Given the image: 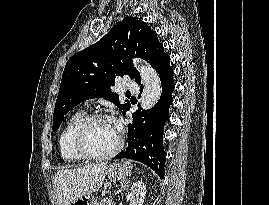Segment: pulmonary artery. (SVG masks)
Instances as JSON below:
<instances>
[{
    "mask_svg": "<svg viewBox=\"0 0 269 205\" xmlns=\"http://www.w3.org/2000/svg\"><path fill=\"white\" fill-rule=\"evenodd\" d=\"M125 87L130 91H137L138 89L137 83L133 79H130V78L125 79Z\"/></svg>",
    "mask_w": 269,
    "mask_h": 205,
    "instance_id": "1",
    "label": "pulmonary artery"
}]
</instances>
